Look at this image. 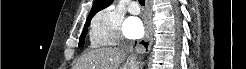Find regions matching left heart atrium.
<instances>
[{"label":"left heart atrium","instance_id":"39dd6f15","mask_svg":"<svg viewBox=\"0 0 246 69\" xmlns=\"http://www.w3.org/2000/svg\"><path fill=\"white\" fill-rule=\"evenodd\" d=\"M144 27L137 17H129L124 24V33L128 38H138L143 35Z\"/></svg>","mask_w":246,"mask_h":69}]
</instances>
